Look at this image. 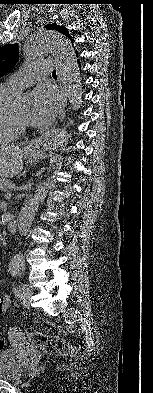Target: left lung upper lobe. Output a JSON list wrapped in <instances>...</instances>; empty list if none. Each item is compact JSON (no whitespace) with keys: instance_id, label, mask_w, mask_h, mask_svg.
I'll list each match as a JSON object with an SVG mask.
<instances>
[{"instance_id":"left-lung-upper-lobe-1","label":"left lung upper lobe","mask_w":153,"mask_h":393,"mask_svg":"<svg viewBox=\"0 0 153 393\" xmlns=\"http://www.w3.org/2000/svg\"><path fill=\"white\" fill-rule=\"evenodd\" d=\"M46 29L58 31L67 37L71 38L68 29L56 23L48 24ZM73 41V40H71ZM18 61V46L17 44L5 45L0 48V77L11 71Z\"/></svg>"}]
</instances>
